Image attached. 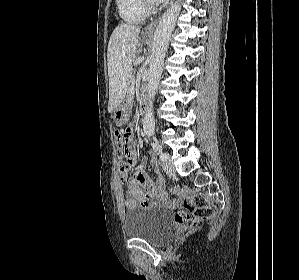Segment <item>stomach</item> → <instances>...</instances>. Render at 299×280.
<instances>
[{
  "mask_svg": "<svg viewBox=\"0 0 299 280\" xmlns=\"http://www.w3.org/2000/svg\"><path fill=\"white\" fill-rule=\"evenodd\" d=\"M130 107L131 104L129 102H122L116 109H114L113 120L117 126L121 127L127 124Z\"/></svg>",
  "mask_w": 299,
  "mask_h": 280,
  "instance_id": "stomach-1",
  "label": "stomach"
}]
</instances>
